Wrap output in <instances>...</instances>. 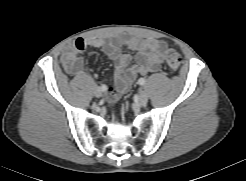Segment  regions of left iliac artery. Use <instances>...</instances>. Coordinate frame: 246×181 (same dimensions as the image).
<instances>
[{
  "mask_svg": "<svg viewBox=\"0 0 246 181\" xmlns=\"http://www.w3.org/2000/svg\"><path fill=\"white\" fill-rule=\"evenodd\" d=\"M138 84L141 85V86H144V85L146 84L145 78H140V79L138 80Z\"/></svg>",
  "mask_w": 246,
  "mask_h": 181,
  "instance_id": "left-iliac-artery-1",
  "label": "left iliac artery"
}]
</instances>
